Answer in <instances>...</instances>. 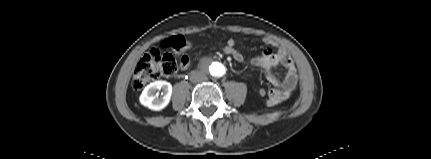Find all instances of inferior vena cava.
<instances>
[{"instance_id":"obj_1","label":"inferior vena cava","mask_w":431,"mask_h":159,"mask_svg":"<svg viewBox=\"0 0 431 159\" xmlns=\"http://www.w3.org/2000/svg\"><path fill=\"white\" fill-rule=\"evenodd\" d=\"M205 78L206 77L202 73H200V72H193L191 74L190 80H191V82L198 83V82L204 81Z\"/></svg>"}]
</instances>
